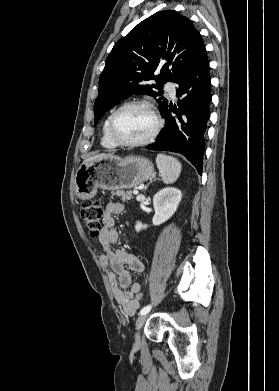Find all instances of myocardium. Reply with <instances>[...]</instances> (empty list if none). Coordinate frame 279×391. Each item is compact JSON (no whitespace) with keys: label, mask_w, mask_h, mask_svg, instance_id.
Masks as SVG:
<instances>
[{"label":"myocardium","mask_w":279,"mask_h":391,"mask_svg":"<svg viewBox=\"0 0 279 391\" xmlns=\"http://www.w3.org/2000/svg\"><path fill=\"white\" fill-rule=\"evenodd\" d=\"M128 107H142L147 109L153 119H154V128L152 129L151 133L144 139L139 140V141H123L120 138L117 137V135L114 132V123L117 115L119 114L120 111H122L125 108ZM162 119L160 118L158 112L156 111L155 107L153 106L152 103L146 100H132L123 103L119 107H117L110 115L109 122H108V135L110 139L118 146H123V147H140V146H145L150 144L159 134L161 128H162Z\"/></svg>","instance_id":"1"}]
</instances>
